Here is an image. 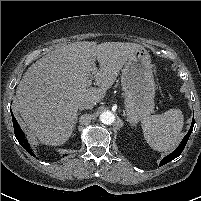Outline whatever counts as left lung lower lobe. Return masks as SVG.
<instances>
[{"instance_id":"0a47b994","label":"left lung lower lobe","mask_w":201,"mask_h":201,"mask_svg":"<svg viewBox=\"0 0 201 201\" xmlns=\"http://www.w3.org/2000/svg\"><path fill=\"white\" fill-rule=\"evenodd\" d=\"M193 127H194V117H193V120H192V124H191V127H190V130L188 131V133L186 134V136L183 138L181 144L177 147V149L175 151H173L171 154H169L168 156H166L159 164V166H163L165 165L166 163L172 161L173 159L177 158L178 156L181 155L191 133H192V130H193Z\"/></svg>"}]
</instances>
